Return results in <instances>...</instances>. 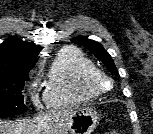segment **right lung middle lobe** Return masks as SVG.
Masks as SVG:
<instances>
[{"label": "right lung middle lobe", "mask_w": 153, "mask_h": 134, "mask_svg": "<svg viewBox=\"0 0 153 134\" xmlns=\"http://www.w3.org/2000/svg\"><path fill=\"white\" fill-rule=\"evenodd\" d=\"M28 73L0 74V118L26 112L22 90Z\"/></svg>", "instance_id": "obj_1"}]
</instances>
